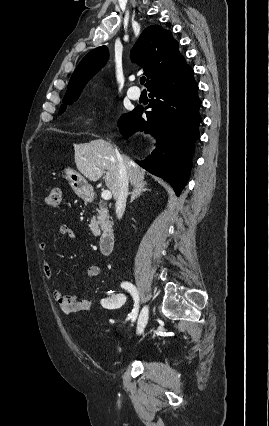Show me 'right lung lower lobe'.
<instances>
[{"label":"right lung lower lobe","mask_w":269,"mask_h":426,"mask_svg":"<svg viewBox=\"0 0 269 426\" xmlns=\"http://www.w3.org/2000/svg\"><path fill=\"white\" fill-rule=\"evenodd\" d=\"M193 69L187 65L178 73L150 86L152 101L147 108V118H142L143 108L136 107L119 123L121 133L128 138L137 131L150 133L156 149L137 163L150 173L172 185L179 196L186 185L194 143L199 138L201 101Z\"/></svg>","instance_id":"1"}]
</instances>
